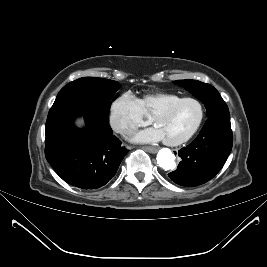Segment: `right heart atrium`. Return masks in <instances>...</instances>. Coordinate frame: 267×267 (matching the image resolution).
Wrapping results in <instances>:
<instances>
[{"label": "right heart atrium", "mask_w": 267, "mask_h": 267, "mask_svg": "<svg viewBox=\"0 0 267 267\" xmlns=\"http://www.w3.org/2000/svg\"><path fill=\"white\" fill-rule=\"evenodd\" d=\"M109 123L122 136L131 135L138 127L149 123L139 99L130 92L118 95L110 104Z\"/></svg>", "instance_id": "obj_1"}]
</instances>
